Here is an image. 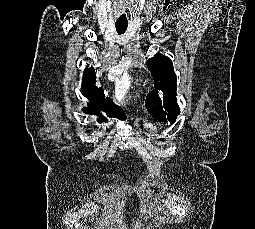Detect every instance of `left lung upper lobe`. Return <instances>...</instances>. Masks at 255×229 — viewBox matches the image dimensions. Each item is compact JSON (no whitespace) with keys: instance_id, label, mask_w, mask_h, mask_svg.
<instances>
[{"instance_id":"left-lung-upper-lobe-1","label":"left lung upper lobe","mask_w":255,"mask_h":229,"mask_svg":"<svg viewBox=\"0 0 255 229\" xmlns=\"http://www.w3.org/2000/svg\"><path fill=\"white\" fill-rule=\"evenodd\" d=\"M147 67L154 79L155 90L147 95L145 106L155 120L173 124L180 113L173 63L165 55L157 53L147 60Z\"/></svg>"}]
</instances>
